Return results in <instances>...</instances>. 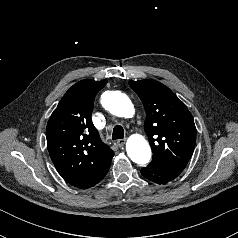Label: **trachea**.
<instances>
[{"instance_id": "trachea-1", "label": "trachea", "mask_w": 238, "mask_h": 238, "mask_svg": "<svg viewBox=\"0 0 238 238\" xmlns=\"http://www.w3.org/2000/svg\"><path fill=\"white\" fill-rule=\"evenodd\" d=\"M124 138V129L120 125H116L113 129L112 139H123Z\"/></svg>"}]
</instances>
